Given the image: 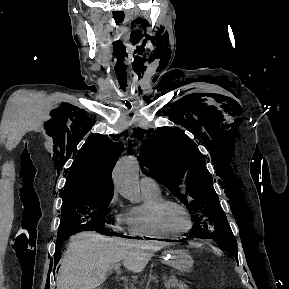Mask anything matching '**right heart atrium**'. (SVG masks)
Listing matches in <instances>:
<instances>
[{
	"label": "right heart atrium",
	"mask_w": 289,
	"mask_h": 289,
	"mask_svg": "<svg viewBox=\"0 0 289 289\" xmlns=\"http://www.w3.org/2000/svg\"><path fill=\"white\" fill-rule=\"evenodd\" d=\"M120 207H121L120 198L118 196V193L114 191L107 202V209L111 212H118ZM125 224H126L125 213L119 211L116 216V222L112 226V229L114 231L120 232L124 229Z\"/></svg>",
	"instance_id": "1"
}]
</instances>
